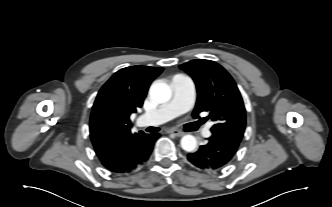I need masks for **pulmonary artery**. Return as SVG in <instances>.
Instances as JSON below:
<instances>
[{
    "label": "pulmonary artery",
    "instance_id": "e3ab8cb5",
    "mask_svg": "<svg viewBox=\"0 0 332 207\" xmlns=\"http://www.w3.org/2000/svg\"><path fill=\"white\" fill-rule=\"evenodd\" d=\"M173 96L172 99L154 109L142 114L138 121L140 125H160L191 109L195 100V86L193 81L183 75H176L171 82ZM211 124L203 129V136L211 135Z\"/></svg>",
    "mask_w": 332,
    "mask_h": 207
}]
</instances>
